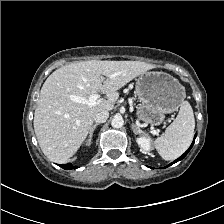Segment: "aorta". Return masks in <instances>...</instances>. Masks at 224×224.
Listing matches in <instances>:
<instances>
[{
    "instance_id": "aorta-1",
    "label": "aorta",
    "mask_w": 224,
    "mask_h": 224,
    "mask_svg": "<svg viewBox=\"0 0 224 224\" xmlns=\"http://www.w3.org/2000/svg\"><path fill=\"white\" fill-rule=\"evenodd\" d=\"M124 124V120L122 116L116 115L113 117L111 121V125L113 128H121Z\"/></svg>"
}]
</instances>
